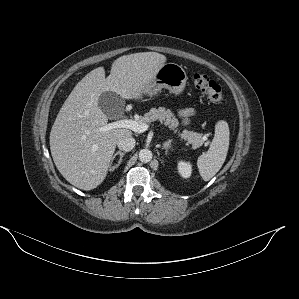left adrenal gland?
<instances>
[{
    "instance_id": "obj_1",
    "label": "left adrenal gland",
    "mask_w": 299,
    "mask_h": 299,
    "mask_svg": "<svg viewBox=\"0 0 299 299\" xmlns=\"http://www.w3.org/2000/svg\"><path fill=\"white\" fill-rule=\"evenodd\" d=\"M171 143H172V140H169V141H166L165 143H163L162 149L166 150V154L168 152V149L171 148Z\"/></svg>"
}]
</instances>
